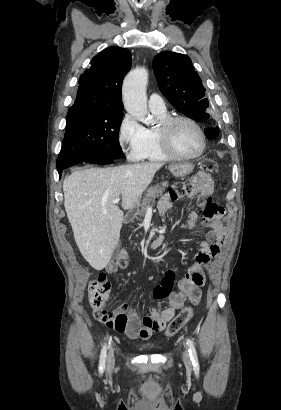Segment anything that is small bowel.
Listing matches in <instances>:
<instances>
[{"label":"small bowel","instance_id":"small-bowel-1","mask_svg":"<svg viewBox=\"0 0 281 410\" xmlns=\"http://www.w3.org/2000/svg\"><path fill=\"white\" fill-rule=\"evenodd\" d=\"M192 188L200 195L211 196L214 183L208 174L198 172L193 176ZM171 206L170 196L168 194L164 195L158 204L159 213L161 215L166 214ZM187 222L193 228L203 226L209 229L206 241L202 244V250L195 256L187 276L177 283V291L172 290L176 276L175 269L166 271L161 282L154 287L153 295L155 299L168 300V307L160 313L156 306H152L148 314L140 320L135 315L127 314L128 305L126 303L118 307L116 314L125 315L128 319L127 327L119 330V332L124 333L130 339H149L153 333L164 329L166 323L174 317L176 311L183 306L188 298L194 301L199 299L200 287L205 283L203 266L220 254L226 231L221 223V216H206L200 220L195 212H190L187 216ZM117 270L116 263H109L106 266V271L109 274L115 273Z\"/></svg>","mask_w":281,"mask_h":410}]
</instances>
